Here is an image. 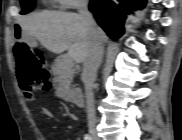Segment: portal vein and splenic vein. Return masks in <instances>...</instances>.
Returning <instances> with one entry per match:
<instances>
[{
  "label": "portal vein and splenic vein",
  "mask_w": 182,
  "mask_h": 140,
  "mask_svg": "<svg viewBox=\"0 0 182 140\" xmlns=\"http://www.w3.org/2000/svg\"><path fill=\"white\" fill-rule=\"evenodd\" d=\"M65 61L66 62H72V58L68 55L65 57Z\"/></svg>",
  "instance_id": "1"
}]
</instances>
